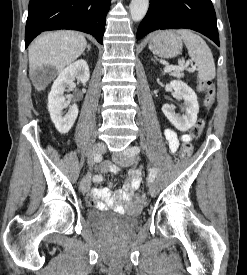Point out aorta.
Masks as SVG:
<instances>
[{
    "instance_id": "obj_1",
    "label": "aorta",
    "mask_w": 247,
    "mask_h": 275,
    "mask_svg": "<svg viewBox=\"0 0 247 275\" xmlns=\"http://www.w3.org/2000/svg\"><path fill=\"white\" fill-rule=\"evenodd\" d=\"M149 0H131L129 9L133 21H141L147 13Z\"/></svg>"
}]
</instances>
